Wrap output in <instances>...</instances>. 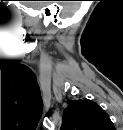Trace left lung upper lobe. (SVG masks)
Returning a JSON list of instances; mask_svg holds the SVG:
<instances>
[{
    "mask_svg": "<svg viewBox=\"0 0 123 130\" xmlns=\"http://www.w3.org/2000/svg\"><path fill=\"white\" fill-rule=\"evenodd\" d=\"M62 127L65 130H110L113 125L108 115L88 99L69 101L64 110Z\"/></svg>",
    "mask_w": 123,
    "mask_h": 130,
    "instance_id": "left-lung-upper-lobe-1",
    "label": "left lung upper lobe"
}]
</instances>
